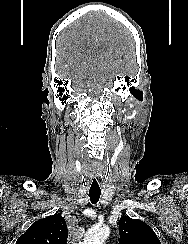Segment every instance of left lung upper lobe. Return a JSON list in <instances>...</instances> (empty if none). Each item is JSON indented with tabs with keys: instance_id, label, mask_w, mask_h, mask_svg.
<instances>
[{
	"instance_id": "1",
	"label": "left lung upper lobe",
	"mask_w": 188,
	"mask_h": 244,
	"mask_svg": "<svg viewBox=\"0 0 188 244\" xmlns=\"http://www.w3.org/2000/svg\"><path fill=\"white\" fill-rule=\"evenodd\" d=\"M119 235L120 244H161L149 225L129 216L120 218Z\"/></svg>"
}]
</instances>
